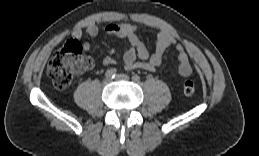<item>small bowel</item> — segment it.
<instances>
[{
	"mask_svg": "<svg viewBox=\"0 0 259 156\" xmlns=\"http://www.w3.org/2000/svg\"><path fill=\"white\" fill-rule=\"evenodd\" d=\"M138 27L131 23H111L105 26L104 32L110 36L123 39L129 48L123 55V61L127 70L143 69L150 72L157 71L163 60L166 49L175 45L178 58L177 75L188 77L192 73V66L189 56L180 43H176L175 38L167 31H159L156 39L155 50L149 53L144 43L139 39L136 31ZM100 29L96 25H90L85 30L76 29L71 33L74 40H79L84 34L89 37H96L100 34ZM85 51L90 49V44L84 42L82 45ZM139 59V60H138ZM115 63V59L109 55L105 56L102 64L105 66Z\"/></svg>",
	"mask_w": 259,
	"mask_h": 156,
	"instance_id": "c3829d8e",
	"label": "small bowel"
}]
</instances>
